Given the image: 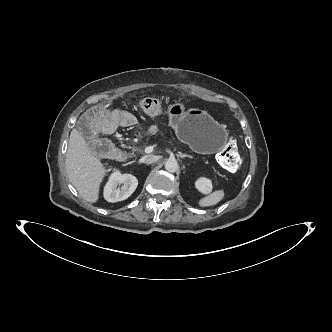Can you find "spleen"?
Returning <instances> with one entry per match:
<instances>
[{
  "label": "spleen",
  "mask_w": 332,
  "mask_h": 332,
  "mask_svg": "<svg viewBox=\"0 0 332 332\" xmlns=\"http://www.w3.org/2000/svg\"><path fill=\"white\" fill-rule=\"evenodd\" d=\"M224 191L223 190H215L209 195L201 198L198 201V205L200 207H210L218 204L224 198Z\"/></svg>",
  "instance_id": "obj_1"
}]
</instances>
